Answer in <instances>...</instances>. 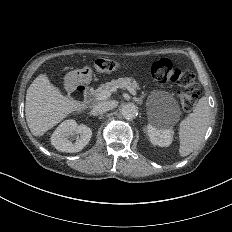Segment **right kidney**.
Wrapping results in <instances>:
<instances>
[{"instance_id":"right-kidney-1","label":"right kidney","mask_w":232,"mask_h":232,"mask_svg":"<svg viewBox=\"0 0 232 232\" xmlns=\"http://www.w3.org/2000/svg\"><path fill=\"white\" fill-rule=\"evenodd\" d=\"M91 137L92 130L88 126L70 120L54 131L51 143L60 152L77 153L88 145Z\"/></svg>"}]
</instances>
